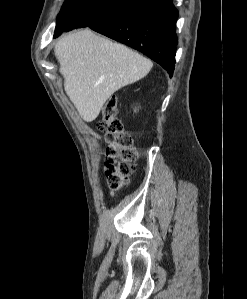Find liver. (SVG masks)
<instances>
[{
    "label": "liver",
    "instance_id": "obj_1",
    "mask_svg": "<svg viewBox=\"0 0 247 299\" xmlns=\"http://www.w3.org/2000/svg\"><path fill=\"white\" fill-rule=\"evenodd\" d=\"M54 53L65 92L86 122L95 120L116 91L145 77L153 65L139 53L90 29L63 36Z\"/></svg>",
    "mask_w": 247,
    "mask_h": 299
}]
</instances>
